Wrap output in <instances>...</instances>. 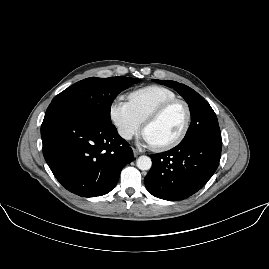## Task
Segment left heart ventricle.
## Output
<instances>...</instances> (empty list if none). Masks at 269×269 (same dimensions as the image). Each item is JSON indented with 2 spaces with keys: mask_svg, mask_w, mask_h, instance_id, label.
Wrapping results in <instances>:
<instances>
[{
  "mask_svg": "<svg viewBox=\"0 0 269 269\" xmlns=\"http://www.w3.org/2000/svg\"><path fill=\"white\" fill-rule=\"evenodd\" d=\"M185 119L186 113L183 106L174 105L148 125L145 136L152 145H165L181 133Z\"/></svg>",
  "mask_w": 269,
  "mask_h": 269,
  "instance_id": "left-heart-ventricle-1",
  "label": "left heart ventricle"
}]
</instances>
